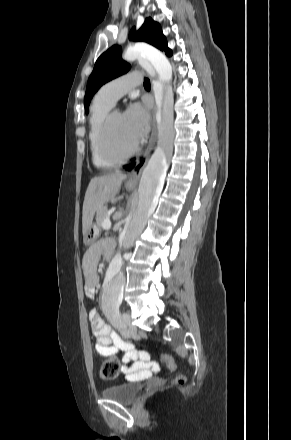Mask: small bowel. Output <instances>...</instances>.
Segmentation results:
<instances>
[{
  "mask_svg": "<svg viewBox=\"0 0 291 440\" xmlns=\"http://www.w3.org/2000/svg\"><path fill=\"white\" fill-rule=\"evenodd\" d=\"M114 243L111 240H102L90 247L82 259V268L85 276V296L88 301H93L95 297L96 286L99 281L97 268L103 255L112 252ZM105 306V304H104ZM106 307V306H105ZM89 320L92 326V332L96 337L95 347L102 356H114L120 351L125 352L122 359L121 371L128 378H148L160 372V366L144 359L135 349L134 344L124 341L112 329L111 326L104 323L99 312L92 309L89 312ZM133 361L131 365H128Z\"/></svg>",
  "mask_w": 291,
  "mask_h": 440,
  "instance_id": "obj_1",
  "label": "small bowel"
}]
</instances>
